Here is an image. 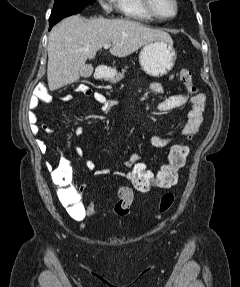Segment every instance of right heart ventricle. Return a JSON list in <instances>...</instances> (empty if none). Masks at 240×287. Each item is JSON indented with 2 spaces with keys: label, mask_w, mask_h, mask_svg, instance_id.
Masks as SVG:
<instances>
[{
  "label": "right heart ventricle",
  "mask_w": 240,
  "mask_h": 287,
  "mask_svg": "<svg viewBox=\"0 0 240 287\" xmlns=\"http://www.w3.org/2000/svg\"><path fill=\"white\" fill-rule=\"evenodd\" d=\"M118 13L129 19L152 21L154 18L147 13L142 0H116Z\"/></svg>",
  "instance_id": "right-heart-ventricle-1"
}]
</instances>
